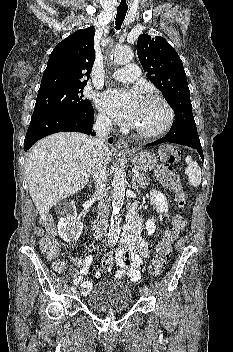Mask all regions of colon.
I'll use <instances>...</instances> for the list:
<instances>
[{"label":"colon","mask_w":233,"mask_h":352,"mask_svg":"<svg viewBox=\"0 0 233 352\" xmlns=\"http://www.w3.org/2000/svg\"><path fill=\"white\" fill-rule=\"evenodd\" d=\"M180 158V152L173 146H164L160 149L158 155V165L156 175L159 181L166 187L172 189L176 194V203L179 208H183L187 201V195L179 182L178 175L173 169V164ZM186 220L181 215H176L170 226L165 230L163 237L156 245L155 253L149 263V271L152 275L160 274L166 265V260L172 251V244L184 230ZM46 233L39 240V247L47 258L55 260L58 257L59 247L56 241V229L52 220L45 223ZM113 266V258L105 255L101 262L97 275L110 270ZM55 268L62 270L63 265L56 263Z\"/></svg>","instance_id":"obj_1"}]
</instances>
